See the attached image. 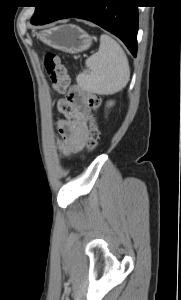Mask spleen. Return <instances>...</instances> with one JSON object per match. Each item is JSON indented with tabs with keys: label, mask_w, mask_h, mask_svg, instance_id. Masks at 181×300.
<instances>
[{
	"label": "spleen",
	"mask_w": 181,
	"mask_h": 300,
	"mask_svg": "<svg viewBox=\"0 0 181 300\" xmlns=\"http://www.w3.org/2000/svg\"><path fill=\"white\" fill-rule=\"evenodd\" d=\"M87 70L76 77L77 84L85 91L110 95L123 89L130 79L127 56L112 37L102 34L97 53L86 62Z\"/></svg>",
	"instance_id": "3e777b00"
}]
</instances>
